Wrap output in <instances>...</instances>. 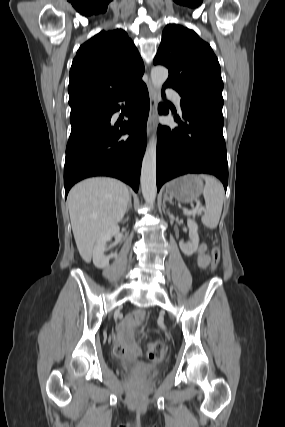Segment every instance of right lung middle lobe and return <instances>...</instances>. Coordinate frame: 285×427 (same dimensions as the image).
I'll return each mask as SVG.
<instances>
[{
    "label": "right lung middle lobe",
    "mask_w": 285,
    "mask_h": 427,
    "mask_svg": "<svg viewBox=\"0 0 285 427\" xmlns=\"http://www.w3.org/2000/svg\"><path fill=\"white\" fill-rule=\"evenodd\" d=\"M103 105H96V106H92V107H90V108H87V109H92V108H99V107H102ZM86 109V110H87ZM84 111V110H83ZM82 112V111H81ZM80 112H77V113H71L70 114V120L71 119H73L76 115H78Z\"/></svg>",
    "instance_id": "obj_1"
}]
</instances>
